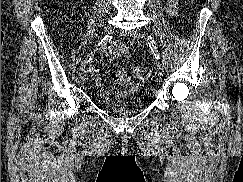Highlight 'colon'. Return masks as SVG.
<instances>
[{
	"instance_id": "obj_1",
	"label": "colon",
	"mask_w": 243,
	"mask_h": 182,
	"mask_svg": "<svg viewBox=\"0 0 243 182\" xmlns=\"http://www.w3.org/2000/svg\"><path fill=\"white\" fill-rule=\"evenodd\" d=\"M132 75L139 80L146 78V70L143 67L136 66L132 69Z\"/></svg>"
}]
</instances>
